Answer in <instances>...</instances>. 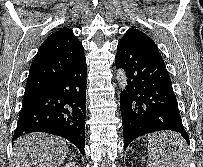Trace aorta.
I'll use <instances>...</instances> for the list:
<instances>
[{"label": "aorta", "mask_w": 203, "mask_h": 167, "mask_svg": "<svg viewBox=\"0 0 203 167\" xmlns=\"http://www.w3.org/2000/svg\"><path fill=\"white\" fill-rule=\"evenodd\" d=\"M116 80L119 84V87L123 90L126 88L127 85V76H126V72L124 71L123 68H119L116 71Z\"/></svg>", "instance_id": "1"}]
</instances>
